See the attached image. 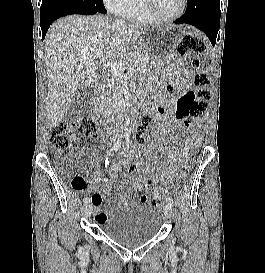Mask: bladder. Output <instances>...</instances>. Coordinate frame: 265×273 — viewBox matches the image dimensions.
<instances>
[{
	"mask_svg": "<svg viewBox=\"0 0 265 273\" xmlns=\"http://www.w3.org/2000/svg\"><path fill=\"white\" fill-rule=\"evenodd\" d=\"M162 221V214L156 207L137 203L112 213L100 222V228L112 241L134 248L155 238Z\"/></svg>",
	"mask_w": 265,
	"mask_h": 273,
	"instance_id": "1",
	"label": "bladder"
}]
</instances>
